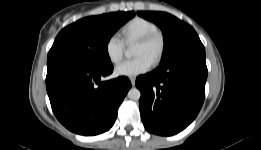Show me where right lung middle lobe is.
<instances>
[{"mask_svg": "<svg viewBox=\"0 0 261 150\" xmlns=\"http://www.w3.org/2000/svg\"><path fill=\"white\" fill-rule=\"evenodd\" d=\"M135 13L116 12L83 18L62 29L51 47L47 67L75 64L99 68L110 65L107 45L111 36Z\"/></svg>", "mask_w": 261, "mask_h": 150, "instance_id": "1", "label": "right lung middle lobe"}]
</instances>
